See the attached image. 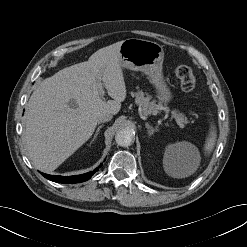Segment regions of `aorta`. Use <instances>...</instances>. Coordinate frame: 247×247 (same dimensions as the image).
<instances>
[{"mask_svg":"<svg viewBox=\"0 0 247 247\" xmlns=\"http://www.w3.org/2000/svg\"><path fill=\"white\" fill-rule=\"evenodd\" d=\"M115 140L119 146L128 147L134 141V134L130 129H120L115 135Z\"/></svg>","mask_w":247,"mask_h":247,"instance_id":"obj_1","label":"aorta"}]
</instances>
